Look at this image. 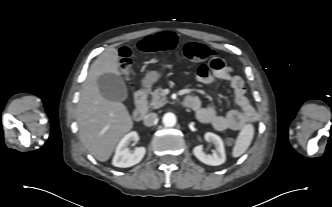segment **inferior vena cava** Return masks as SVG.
<instances>
[{
  "mask_svg": "<svg viewBox=\"0 0 332 207\" xmlns=\"http://www.w3.org/2000/svg\"><path fill=\"white\" fill-rule=\"evenodd\" d=\"M156 119V113H149L144 117V125L150 127L155 123Z\"/></svg>",
  "mask_w": 332,
  "mask_h": 207,
  "instance_id": "1",
  "label": "inferior vena cava"
}]
</instances>
